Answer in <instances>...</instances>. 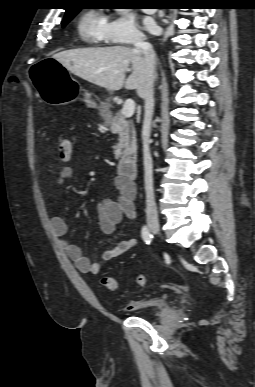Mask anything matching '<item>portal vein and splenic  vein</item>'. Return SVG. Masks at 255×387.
<instances>
[{
    "label": "portal vein and splenic vein",
    "mask_w": 255,
    "mask_h": 387,
    "mask_svg": "<svg viewBox=\"0 0 255 387\" xmlns=\"http://www.w3.org/2000/svg\"><path fill=\"white\" fill-rule=\"evenodd\" d=\"M135 111V102L132 99H127L122 108V114L125 118L133 116Z\"/></svg>",
    "instance_id": "obj_1"
}]
</instances>
